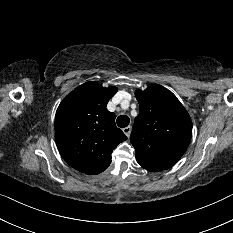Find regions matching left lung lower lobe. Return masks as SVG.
Returning <instances> with one entry per match:
<instances>
[{
	"label": "left lung lower lobe",
	"instance_id": "0a47b994",
	"mask_svg": "<svg viewBox=\"0 0 233 233\" xmlns=\"http://www.w3.org/2000/svg\"><path fill=\"white\" fill-rule=\"evenodd\" d=\"M143 168H145L146 170L148 171H152V172H157V171H162V169H159L157 167H154V166H151V165H148V164H145L141 161H137Z\"/></svg>",
	"mask_w": 233,
	"mask_h": 233
}]
</instances>
